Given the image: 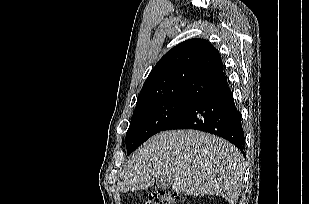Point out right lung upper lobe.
<instances>
[{
	"instance_id": "right-lung-upper-lobe-1",
	"label": "right lung upper lobe",
	"mask_w": 309,
	"mask_h": 204,
	"mask_svg": "<svg viewBox=\"0 0 309 204\" xmlns=\"http://www.w3.org/2000/svg\"><path fill=\"white\" fill-rule=\"evenodd\" d=\"M228 87L218 50L204 39H189L168 51L146 79L137 104L160 99L199 102Z\"/></svg>"
}]
</instances>
